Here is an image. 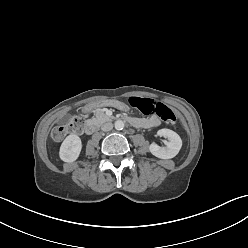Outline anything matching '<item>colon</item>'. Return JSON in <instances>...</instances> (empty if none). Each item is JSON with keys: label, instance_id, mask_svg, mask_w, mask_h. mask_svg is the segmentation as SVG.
I'll list each match as a JSON object with an SVG mask.
<instances>
[{"label": "colon", "instance_id": "obj_1", "mask_svg": "<svg viewBox=\"0 0 248 248\" xmlns=\"http://www.w3.org/2000/svg\"><path fill=\"white\" fill-rule=\"evenodd\" d=\"M130 104L146 115H156L164 122L173 124L177 117L175 112L168 106L156 102L149 98L132 97L129 99ZM82 121L78 118L71 119L65 124L55 127L51 132L54 140H61L71 133H77L82 129Z\"/></svg>", "mask_w": 248, "mask_h": 248}]
</instances>
